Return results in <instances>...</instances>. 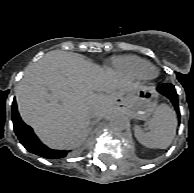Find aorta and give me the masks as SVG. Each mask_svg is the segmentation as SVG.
<instances>
[{"label": "aorta", "mask_w": 194, "mask_h": 193, "mask_svg": "<svg viewBox=\"0 0 194 193\" xmlns=\"http://www.w3.org/2000/svg\"><path fill=\"white\" fill-rule=\"evenodd\" d=\"M109 126L113 131H124L128 127V120L120 114H113L109 118Z\"/></svg>", "instance_id": "aorta-1"}]
</instances>
